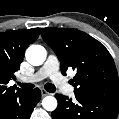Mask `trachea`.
<instances>
[{"instance_id": "3493384b", "label": "trachea", "mask_w": 119, "mask_h": 119, "mask_svg": "<svg viewBox=\"0 0 119 119\" xmlns=\"http://www.w3.org/2000/svg\"><path fill=\"white\" fill-rule=\"evenodd\" d=\"M18 85H19L22 89H24V90H26V91L32 90L33 87H34V85L31 84V83H20V82H18ZM45 89H46L48 92H51V93H53V92L56 91V87H55L53 84H51V83H46V84H45Z\"/></svg>"}]
</instances>
